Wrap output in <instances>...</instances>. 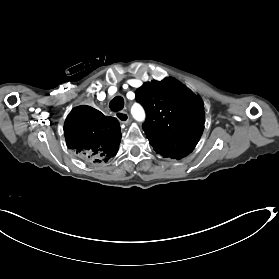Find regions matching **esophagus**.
<instances>
[{
  "mask_svg": "<svg viewBox=\"0 0 279 279\" xmlns=\"http://www.w3.org/2000/svg\"><path fill=\"white\" fill-rule=\"evenodd\" d=\"M115 117L120 123H127L129 121V114L124 111H119L115 113Z\"/></svg>",
  "mask_w": 279,
  "mask_h": 279,
  "instance_id": "1",
  "label": "esophagus"
}]
</instances>
